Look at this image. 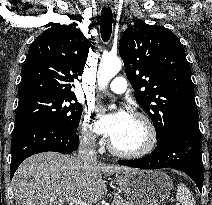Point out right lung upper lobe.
Returning <instances> with one entry per match:
<instances>
[{
    "mask_svg": "<svg viewBox=\"0 0 212 205\" xmlns=\"http://www.w3.org/2000/svg\"><path fill=\"white\" fill-rule=\"evenodd\" d=\"M91 44L74 25L55 24L31 44L22 68L19 98L36 94L76 97L71 88L82 75Z\"/></svg>",
    "mask_w": 212,
    "mask_h": 205,
    "instance_id": "right-lung-upper-lobe-1",
    "label": "right lung upper lobe"
}]
</instances>
